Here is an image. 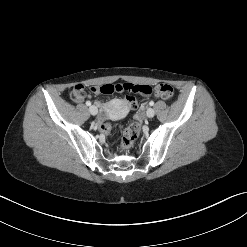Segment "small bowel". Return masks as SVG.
Masks as SVG:
<instances>
[{
	"mask_svg": "<svg viewBox=\"0 0 247 247\" xmlns=\"http://www.w3.org/2000/svg\"><path fill=\"white\" fill-rule=\"evenodd\" d=\"M71 97L75 102H82L85 99V95H83V96H73V95H71ZM103 108L106 109V106L103 105Z\"/></svg>",
	"mask_w": 247,
	"mask_h": 247,
	"instance_id": "obj_1",
	"label": "small bowel"
}]
</instances>
